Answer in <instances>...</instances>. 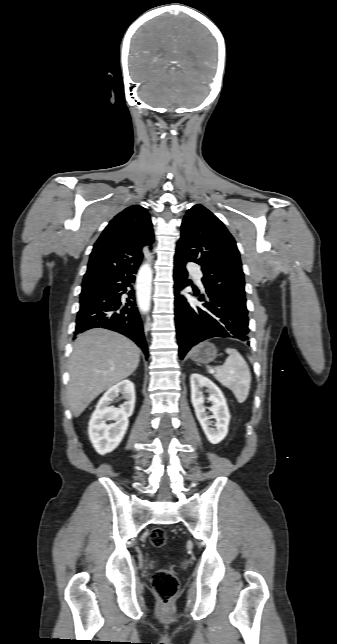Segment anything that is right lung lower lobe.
<instances>
[{"label": "right lung lower lobe", "mask_w": 337, "mask_h": 644, "mask_svg": "<svg viewBox=\"0 0 337 644\" xmlns=\"http://www.w3.org/2000/svg\"><path fill=\"white\" fill-rule=\"evenodd\" d=\"M138 267L130 265L117 270L80 296L75 334L91 328L110 329L132 339L148 358L143 324L133 290L134 274ZM123 294L127 297H123Z\"/></svg>", "instance_id": "1"}]
</instances>
